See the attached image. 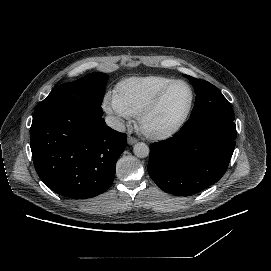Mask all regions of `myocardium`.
Here are the masks:
<instances>
[{
  "label": "myocardium",
  "mask_w": 271,
  "mask_h": 271,
  "mask_svg": "<svg viewBox=\"0 0 271 271\" xmlns=\"http://www.w3.org/2000/svg\"><path fill=\"white\" fill-rule=\"evenodd\" d=\"M177 83H185L187 84L191 89V101L190 104L184 113V115L176 122L173 126L170 128L164 129V130H158V131H150L145 128V122L146 120L159 108L162 101L164 100L165 96L169 92V90L176 85ZM196 99V92L194 86L185 79H175L171 81L169 84H167L153 99V101L140 113L138 117V123L140 129L143 131L144 134H146L148 137L152 139L162 140L171 137L175 133H177L187 122Z\"/></svg>",
  "instance_id": "myocardium-1"
}]
</instances>
